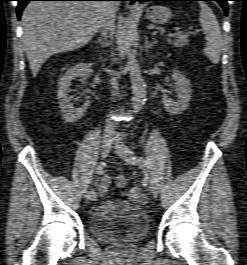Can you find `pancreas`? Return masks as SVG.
<instances>
[{
  "instance_id": "pancreas-1",
  "label": "pancreas",
  "mask_w": 247,
  "mask_h": 265,
  "mask_svg": "<svg viewBox=\"0 0 247 265\" xmlns=\"http://www.w3.org/2000/svg\"><path fill=\"white\" fill-rule=\"evenodd\" d=\"M189 34L174 35L172 38H168L167 42L174 47L181 48L188 44Z\"/></svg>"
}]
</instances>
